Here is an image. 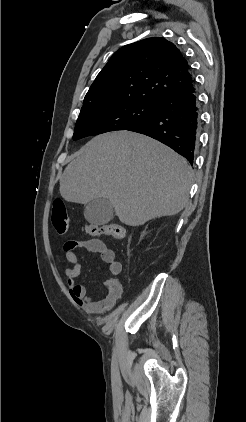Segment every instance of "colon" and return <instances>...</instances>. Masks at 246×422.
<instances>
[{
	"mask_svg": "<svg viewBox=\"0 0 246 422\" xmlns=\"http://www.w3.org/2000/svg\"><path fill=\"white\" fill-rule=\"evenodd\" d=\"M69 216L64 202L56 199L52 205V224L58 233H66L69 228ZM84 231L91 236L108 235L117 240L125 237V229L117 223L91 224L84 227Z\"/></svg>",
	"mask_w": 246,
	"mask_h": 422,
	"instance_id": "obj_1",
	"label": "colon"
}]
</instances>
